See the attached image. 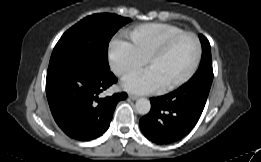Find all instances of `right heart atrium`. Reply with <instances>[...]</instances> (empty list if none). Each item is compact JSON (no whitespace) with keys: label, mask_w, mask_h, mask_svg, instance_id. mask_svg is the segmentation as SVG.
Wrapping results in <instances>:
<instances>
[{"label":"right heart atrium","mask_w":261,"mask_h":162,"mask_svg":"<svg viewBox=\"0 0 261 162\" xmlns=\"http://www.w3.org/2000/svg\"><path fill=\"white\" fill-rule=\"evenodd\" d=\"M108 60L111 70L122 78L137 73L145 63V59L136 52L132 44L123 38L111 41Z\"/></svg>","instance_id":"1"}]
</instances>
